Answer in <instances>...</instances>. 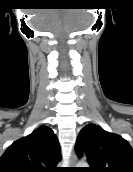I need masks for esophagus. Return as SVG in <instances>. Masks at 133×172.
<instances>
[{"label":"esophagus","mask_w":133,"mask_h":172,"mask_svg":"<svg viewBox=\"0 0 133 172\" xmlns=\"http://www.w3.org/2000/svg\"><path fill=\"white\" fill-rule=\"evenodd\" d=\"M77 162V156L75 153L72 154L71 159H70V165L71 167H74L76 165Z\"/></svg>","instance_id":"esophagus-1"}]
</instances>
